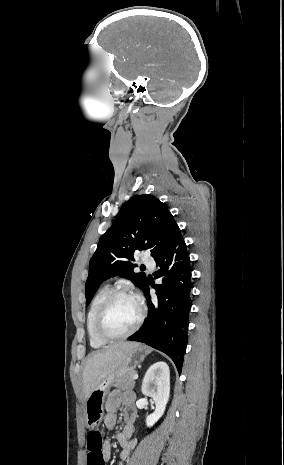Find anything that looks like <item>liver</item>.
Returning <instances> with one entry per match:
<instances>
[{"label": "liver", "mask_w": 284, "mask_h": 465, "mask_svg": "<svg viewBox=\"0 0 284 465\" xmlns=\"http://www.w3.org/2000/svg\"><path fill=\"white\" fill-rule=\"evenodd\" d=\"M134 347H138V343H117V345H111L103 351L91 353L83 371L84 399L89 397L93 389L101 383L103 377L111 375L113 371L121 367L127 353Z\"/></svg>", "instance_id": "1"}]
</instances>
